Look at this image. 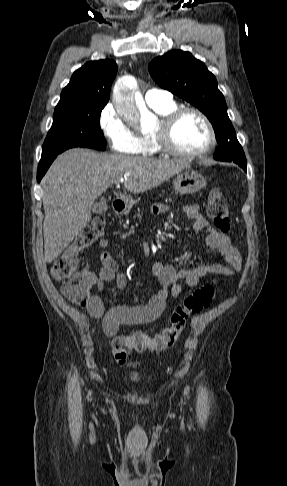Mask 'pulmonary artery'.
I'll use <instances>...</instances> for the list:
<instances>
[{
    "label": "pulmonary artery",
    "mask_w": 287,
    "mask_h": 486,
    "mask_svg": "<svg viewBox=\"0 0 287 486\" xmlns=\"http://www.w3.org/2000/svg\"><path fill=\"white\" fill-rule=\"evenodd\" d=\"M145 100L151 107L166 105L173 102L172 94L170 92L157 88L149 89L145 94Z\"/></svg>",
    "instance_id": "e3ab8cb5"
}]
</instances>
